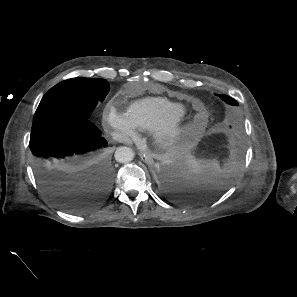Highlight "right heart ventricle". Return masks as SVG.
<instances>
[{
	"mask_svg": "<svg viewBox=\"0 0 297 297\" xmlns=\"http://www.w3.org/2000/svg\"><path fill=\"white\" fill-rule=\"evenodd\" d=\"M184 104L164 97H145L132 102L127 115L139 130L150 131L159 123L185 115Z\"/></svg>",
	"mask_w": 297,
	"mask_h": 297,
	"instance_id": "right-heart-ventricle-1",
	"label": "right heart ventricle"
}]
</instances>
